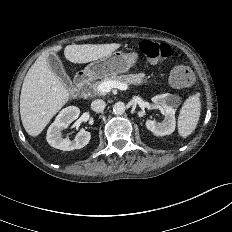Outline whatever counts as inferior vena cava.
<instances>
[{
  "label": "inferior vena cava",
  "instance_id": "obj_1",
  "mask_svg": "<svg viewBox=\"0 0 232 232\" xmlns=\"http://www.w3.org/2000/svg\"><path fill=\"white\" fill-rule=\"evenodd\" d=\"M106 106V103L104 100H101V99H97V100H94L92 101L91 103V109L93 111H96V112H101L104 110Z\"/></svg>",
  "mask_w": 232,
  "mask_h": 232
}]
</instances>
